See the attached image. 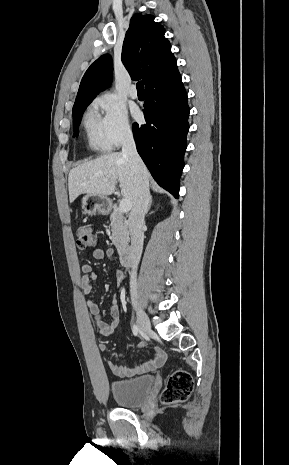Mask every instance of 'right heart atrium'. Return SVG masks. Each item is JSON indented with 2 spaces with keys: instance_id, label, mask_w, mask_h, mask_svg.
<instances>
[{
  "instance_id": "right-heart-atrium-1",
  "label": "right heart atrium",
  "mask_w": 289,
  "mask_h": 465,
  "mask_svg": "<svg viewBox=\"0 0 289 465\" xmlns=\"http://www.w3.org/2000/svg\"><path fill=\"white\" fill-rule=\"evenodd\" d=\"M102 111L103 131L111 147H117L132 136V128L125 107L110 94L95 100Z\"/></svg>"
}]
</instances>
